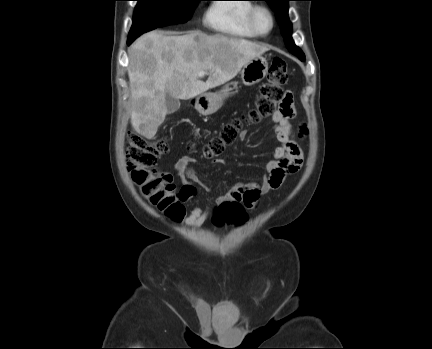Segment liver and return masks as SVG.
I'll return each mask as SVG.
<instances>
[{"mask_svg": "<svg viewBox=\"0 0 432 349\" xmlns=\"http://www.w3.org/2000/svg\"><path fill=\"white\" fill-rule=\"evenodd\" d=\"M268 50L245 39L201 31L142 35L128 51L133 129L153 138L167 114V94L182 100L196 97L233 79L245 64ZM201 71L209 73L206 82L198 76Z\"/></svg>", "mask_w": 432, "mask_h": 349, "instance_id": "liver-1", "label": "liver"}]
</instances>
